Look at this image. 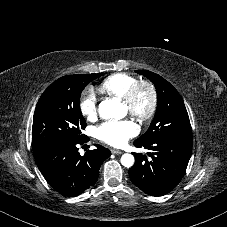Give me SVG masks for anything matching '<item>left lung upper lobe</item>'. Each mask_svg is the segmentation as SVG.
Masks as SVG:
<instances>
[{
	"mask_svg": "<svg viewBox=\"0 0 227 227\" xmlns=\"http://www.w3.org/2000/svg\"><path fill=\"white\" fill-rule=\"evenodd\" d=\"M135 72L154 83L157 91V110L148 130L134 143L148 144L166 138L192 136L188 113L178 91L167 80L151 71Z\"/></svg>",
	"mask_w": 227,
	"mask_h": 227,
	"instance_id": "1",
	"label": "left lung upper lobe"
}]
</instances>
